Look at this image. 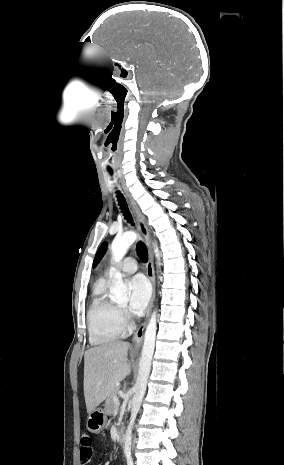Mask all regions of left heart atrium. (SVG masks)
Wrapping results in <instances>:
<instances>
[{
  "label": "left heart atrium",
  "instance_id": "1",
  "mask_svg": "<svg viewBox=\"0 0 284 465\" xmlns=\"http://www.w3.org/2000/svg\"><path fill=\"white\" fill-rule=\"evenodd\" d=\"M130 301L129 311L133 315L141 313L148 305L150 286L143 275H136L129 280Z\"/></svg>",
  "mask_w": 284,
  "mask_h": 465
}]
</instances>
